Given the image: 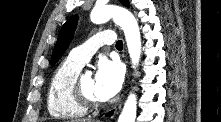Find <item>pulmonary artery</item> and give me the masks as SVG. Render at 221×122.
Here are the masks:
<instances>
[{"label":"pulmonary artery","instance_id":"1","mask_svg":"<svg viewBox=\"0 0 221 122\" xmlns=\"http://www.w3.org/2000/svg\"><path fill=\"white\" fill-rule=\"evenodd\" d=\"M115 42L114 33L110 30L98 32L82 45L74 48L69 58L79 66H84L90 57L102 46L112 45Z\"/></svg>","mask_w":221,"mask_h":122}]
</instances>
